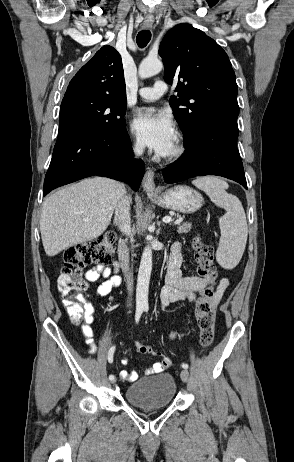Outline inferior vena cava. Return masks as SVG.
I'll use <instances>...</instances> for the list:
<instances>
[{"instance_id": "1", "label": "inferior vena cava", "mask_w": 294, "mask_h": 462, "mask_svg": "<svg viewBox=\"0 0 294 462\" xmlns=\"http://www.w3.org/2000/svg\"><path fill=\"white\" fill-rule=\"evenodd\" d=\"M144 145L140 142H137L134 147V153L136 156H140L143 153ZM130 203L131 198L126 194L120 197L116 208H115V224L122 232H127L130 229L131 224V217H130ZM125 257H121L122 263L127 261V254L126 250H124ZM126 278V285L128 290V299H127V307H132V278L129 272L125 273Z\"/></svg>"}]
</instances>
